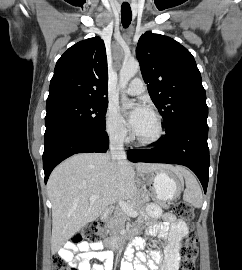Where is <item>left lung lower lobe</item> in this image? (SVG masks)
Masks as SVG:
<instances>
[{
    "mask_svg": "<svg viewBox=\"0 0 242 270\" xmlns=\"http://www.w3.org/2000/svg\"><path fill=\"white\" fill-rule=\"evenodd\" d=\"M208 125L205 119L187 120L166 132L152 149L127 152L132 162L170 163L190 168L199 178L204 192L208 185L209 148Z\"/></svg>",
    "mask_w": 242,
    "mask_h": 270,
    "instance_id": "obj_1",
    "label": "left lung lower lobe"
}]
</instances>
